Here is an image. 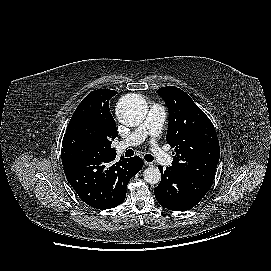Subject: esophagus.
I'll list each match as a JSON object with an SVG mask.
<instances>
[{
	"label": "esophagus",
	"instance_id": "1",
	"mask_svg": "<svg viewBox=\"0 0 271 271\" xmlns=\"http://www.w3.org/2000/svg\"><path fill=\"white\" fill-rule=\"evenodd\" d=\"M144 165L147 166V167L153 166V164L151 162H147V161L144 162Z\"/></svg>",
	"mask_w": 271,
	"mask_h": 271
}]
</instances>
